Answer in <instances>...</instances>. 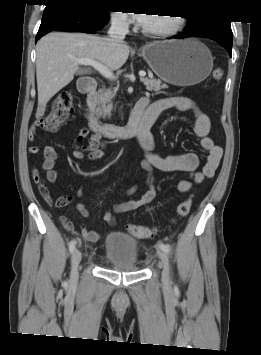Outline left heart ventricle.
Wrapping results in <instances>:
<instances>
[{"instance_id":"left-heart-ventricle-1","label":"left heart ventricle","mask_w":261,"mask_h":355,"mask_svg":"<svg viewBox=\"0 0 261 355\" xmlns=\"http://www.w3.org/2000/svg\"><path fill=\"white\" fill-rule=\"evenodd\" d=\"M175 19L173 16L167 15H149L143 28L148 30L168 29L174 25Z\"/></svg>"}]
</instances>
